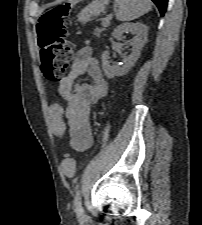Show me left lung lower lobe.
<instances>
[{
	"label": "left lung lower lobe",
	"instance_id": "0a47b994",
	"mask_svg": "<svg viewBox=\"0 0 202 225\" xmlns=\"http://www.w3.org/2000/svg\"><path fill=\"white\" fill-rule=\"evenodd\" d=\"M152 1L156 4V6L160 11V14L163 16L166 11L168 0H152Z\"/></svg>",
	"mask_w": 202,
	"mask_h": 225
}]
</instances>
